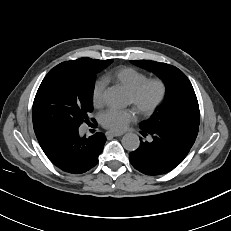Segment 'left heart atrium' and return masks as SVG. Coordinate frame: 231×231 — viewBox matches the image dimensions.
Returning a JSON list of instances; mask_svg holds the SVG:
<instances>
[{"mask_svg": "<svg viewBox=\"0 0 231 231\" xmlns=\"http://www.w3.org/2000/svg\"><path fill=\"white\" fill-rule=\"evenodd\" d=\"M136 119V113L133 109L120 110L111 108L102 113L101 124L114 132H121Z\"/></svg>", "mask_w": 231, "mask_h": 231, "instance_id": "39dd6f15", "label": "left heart atrium"}]
</instances>
